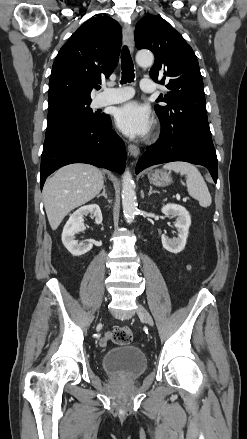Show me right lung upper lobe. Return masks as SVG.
Here are the masks:
<instances>
[{
    "label": "right lung upper lobe",
    "instance_id": "right-lung-upper-lobe-1",
    "mask_svg": "<svg viewBox=\"0 0 247 439\" xmlns=\"http://www.w3.org/2000/svg\"><path fill=\"white\" fill-rule=\"evenodd\" d=\"M122 32L110 17L91 18L62 46L49 80V110L76 101H92L95 85L108 79L119 60Z\"/></svg>",
    "mask_w": 247,
    "mask_h": 439
}]
</instances>
